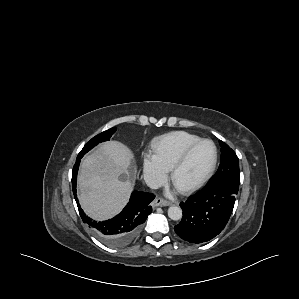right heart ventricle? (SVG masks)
<instances>
[{"label": "right heart ventricle", "instance_id": "obj_1", "mask_svg": "<svg viewBox=\"0 0 299 299\" xmlns=\"http://www.w3.org/2000/svg\"><path fill=\"white\" fill-rule=\"evenodd\" d=\"M199 140L201 138L196 135L176 131L155 138L151 147L157 161L169 171L185 150Z\"/></svg>", "mask_w": 299, "mask_h": 299}]
</instances>
